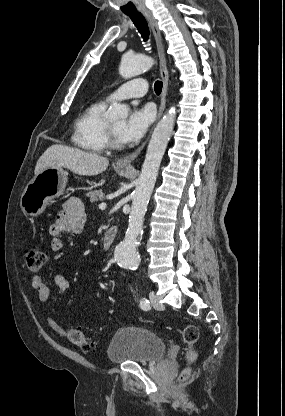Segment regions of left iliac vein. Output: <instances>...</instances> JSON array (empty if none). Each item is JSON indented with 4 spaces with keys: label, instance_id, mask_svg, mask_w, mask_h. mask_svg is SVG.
<instances>
[{
    "label": "left iliac vein",
    "instance_id": "obj_1",
    "mask_svg": "<svg viewBox=\"0 0 285 416\" xmlns=\"http://www.w3.org/2000/svg\"><path fill=\"white\" fill-rule=\"evenodd\" d=\"M150 300L154 309L156 310L164 309V305L160 302L159 298L154 293L150 294Z\"/></svg>",
    "mask_w": 285,
    "mask_h": 416
}]
</instances>
